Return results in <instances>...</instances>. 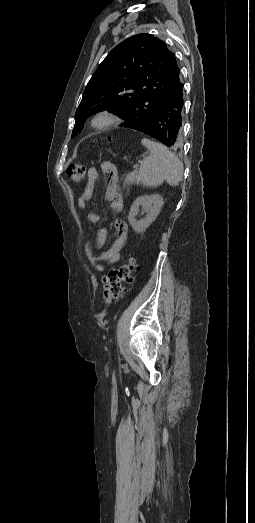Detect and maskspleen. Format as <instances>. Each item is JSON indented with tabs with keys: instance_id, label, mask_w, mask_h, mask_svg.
<instances>
[{
	"instance_id": "spleen-1",
	"label": "spleen",
	"mask_w": 255,
	"mask_h": 523,
	"mask_svg": "<svg viewBox=\"0 0 255 523\" xmlns=\"http://www.w3.org/2000/svg\"><path fill=\"white\" fill-rule=\"evenodd\" d=\"M141 144L146 146L150 156L141 162L139 180L142 186H160L164 180L170 186H179L183 176V164L166 146L143 138Z\"/></svg>"
}]
</instances>
